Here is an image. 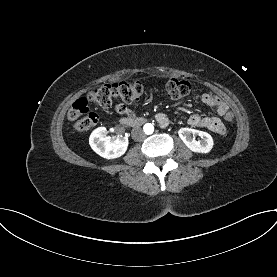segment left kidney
Segmentation results:
<instances>
[{
    "instance_id": "1",
    "label": "left kidney",
    "mask_w": 277,
    "mask_h": 277,
    "mask_svg": "<svg viewBox=\"0 0 277 277\" xmlns=\"http://www.w3.org/2000/svg\"><path fill=\"white\" fill-rule=\"evenodd\" d=\"M178 134L183 143L193 152L208 153L213 147V139L207 132L190 128H181ZM195 134L200 136L201 140L196 141L192 138V135Z\"/></svg>"
}]
</instances>
